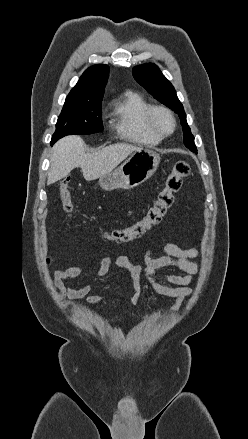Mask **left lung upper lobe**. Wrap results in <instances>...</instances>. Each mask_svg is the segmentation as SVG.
I'll list each match as a JSON object with an SVG mask.
<instances>
[{
  "instance_id": "1",
  "label": "left lung upper lobe",
  "mask_w": 248,
  "mask_h": 439,
  "mask_svg": "<svg viewBox=\"0 0 248 439\" xmlns=\"http://www.w3.org/2000/svg\"><path fill=\"white\" fill-rule=\"evenodd\" d=\"M133 76L148 93L177 113L181 119L184 144L193 152H197L194 137L186 121L183 105L179 101L173 85L164 77L159 68L153 63L134 67Z\"/></svg>"
}]
</instances>
